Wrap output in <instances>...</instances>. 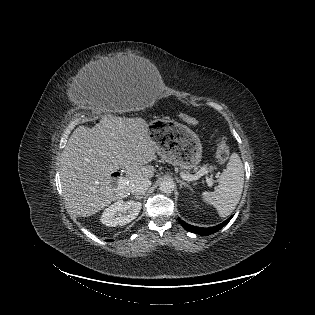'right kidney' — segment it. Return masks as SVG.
<instances>
[{
    "label": "right kidney",
    "instance_id": "ca27d5eb",
    "mask_svg": "<svg viewBox=\"0 0 315 315\" xmlns=\"http://www.w3.org/2000/svg\"><path fill=\"white\" fill-rule=\"evenodd\" d=\"M141 203L117 201L101 215V222L108 227L123 226L133 221L141 210Z\"/></svg>",
    "mask_w": 315,
    "mask_h": 315
}]
</instances>
